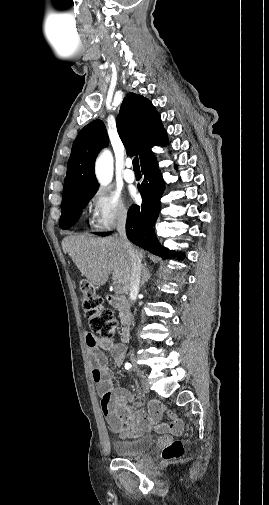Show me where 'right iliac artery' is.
Here are the masks:
<instances>
[{
  "instance_id": "obj_1",
  "label": "right iliac artery",
  "mask_w": 269,
  "mask_h": 505,
  "mask_svg": "<svg viewBox=\"0 0 269 505\" xmlns=\"http://www.w3.org/2000/svg\"><path fill=\"white\" fill-rule=\"evenodd\" d=\"M132 368V365L129 362L125 363V369L129 370Z\"/></svg>"
}]
</instances>
